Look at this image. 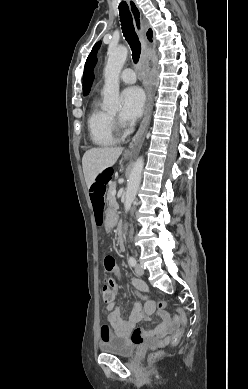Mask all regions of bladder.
Masks as SVG:
<instances>
[{
  "instance_id": "1",
  "label": "bladder",
  "mask_w": 248,
  "mask_h": 389,
  "mask_svg": "<svg viewBox=\"0 0 248 389\" xmlns=\"http://www.w3.org/2000/svg\"><path fill=\"white\" fill-rule=\"evenodd\" d=\"M99 349L102 354L120 357H132L136 352V347L134 345L115 334L103 340L99 345Z\"/></svg>"
}]
</instances>
